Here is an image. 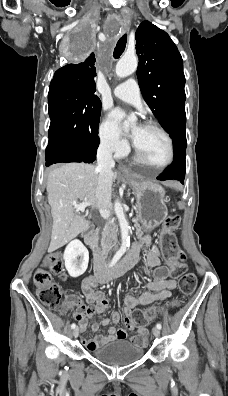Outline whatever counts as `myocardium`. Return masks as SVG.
<instances>
[{"label":"myocardium","mask_w":228,"mask_h":396,"mask_svg":"<svg viewBox=\"0 0 228 396\" xmlns=\"http://www.w3.org/2000/svg\"><path fill=\"white\" fill-rule=\"evenodd\" d=\"M143 126L148 127V128H153V129L159 131L167 139L168 144H169V150H170L169 157H168L167 161L164 162L163 164H160V165L151 164L143 156V154L140 152V150L137 148V146L135 144H133L135 158L141 164H143V165H145L147 167H150L152 169L159 170V169H163V168L169 166L172 163V161L174 160V156H175V148H174V142H173L172 137L170 136V134L162 126H160L158 123H156L154 121H151V120L145 121L143 123Z\"/></svg>","instance_id":"myocardium-1"}]
</instances>
